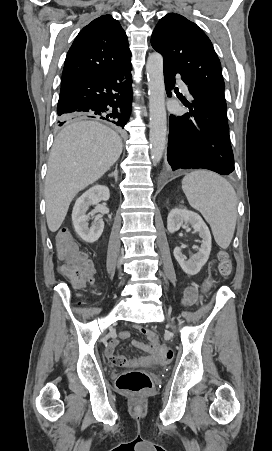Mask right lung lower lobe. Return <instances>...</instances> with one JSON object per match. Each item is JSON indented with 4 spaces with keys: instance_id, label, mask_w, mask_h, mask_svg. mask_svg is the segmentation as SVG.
Listing matches in <instances>:
<instances>
[{
    "instance_id": "98d812e1",
    "label": "right lung lower lobe",
    "mask_w": 272,
    "mask_h": 451,
    "mask_svg": "<svg viewBox=\"0 0 272 451\" xmlns=\"http://www.w3.org/2000/svg\"><path fill=\"white\" fill-rule=\"evenodd\" d=\"M131 70L129 60L106 73L62 85L57 106L58 125L96 118L124 129L131 113Z\"/></svg>"
}]
</instances>
